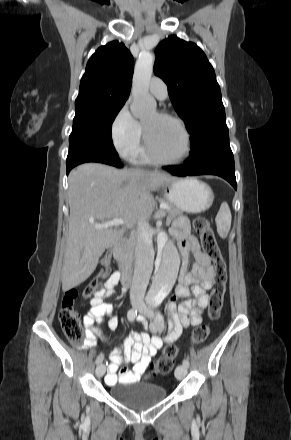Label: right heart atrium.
<instances>
[{
    "instance_id": "d8ad5b80",
    "label": "right heart atrium",
    "mask_w": 291,
    "mask_h": 440,
    "mask_svg": "<svg viewBox=\"0 0 291 440\" xmlns=\"http://www.w3.org/2000/svg\"><path fill=\"white\" fill-rule=\"evenodd\" d=\"M142 126L125 104L118 111L111 125V139L115 150L125 158H131L139 149Z\"/></svg>"
}]
</instances>
